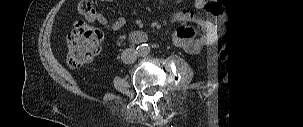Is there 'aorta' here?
<instances>
[{
  "instance_id": "1",
  "label": "aorta",
  "mask_w": 303,
  "mask_h": 127,
  "mask_svg": "<svg viewBox=\"0 0 303 127\" xmlns=\"http://www.w3.org/2000/svg\"><path fill=\"white\" fill-rule=\"evenodd\" d=\"M138 53L140 56H146L150 53V46L147 44H142L139 48H138Z\"/></svg>"
}]
</instances>
